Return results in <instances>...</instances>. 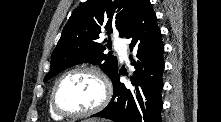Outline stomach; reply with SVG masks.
Returning a JSON list of instances; mask_svg holds the SVG:
<instances>
[{
    "instance_id": "1",
    "label": "stomach",
    "mask_w": 221,
    "mask_h": 122,
    "mask_svg": "<svg viewBox=\"0 0 221 122\" xmlns=\"http://www.w3.org/2000/svg\"><path fill=\"white\" fill-rule=\"evenodd\" d=\"M82 122H106V121L101 120V119H87V120H84Z\"/></svg>"
}]
</instances>
